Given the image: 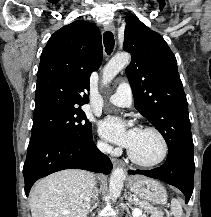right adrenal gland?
Listing matches in <instances>:
<instances>
[{"mask_svg": "<svg viewBox=\"0 0 211 217\" xmlns=\"http://www.w3.org/2000/svg\"><path fill=\"white\" fill-rule=\"evenodd\" d=\"M95 191H96L95 193H97V188H95Z\"/></svg>", "mask_w": 211, "mask_h": 217, "instance_id": "2a0ac1e0", "label": "right adrenal gland"}]
</instances>
